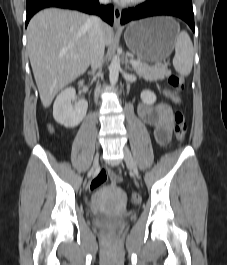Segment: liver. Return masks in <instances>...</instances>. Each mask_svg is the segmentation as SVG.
<instances>
[{
    "mask_svg": "<svg viewBox=\"0 0 227 265\" xmlns=\"http://www.w3.org/2000/svg\"><path fill=\"white\" fill-rule=\"evenodd\" d=\"M91 22L86 14L56 8L37 13L27 28V49L41 103L47 108L90 64ZM105 45L112 28L102 23Z\"/></svg>",
    "mask_w": 227,
    "mask_h": 265,
    "instance_id": "6515ba94",
    "label": "liver"
}]
</instances>
